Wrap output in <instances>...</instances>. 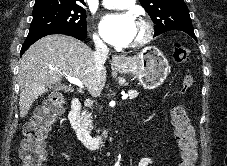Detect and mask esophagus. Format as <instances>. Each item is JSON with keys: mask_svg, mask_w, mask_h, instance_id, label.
<instances>
[{"mask_svg": "<svg viewBox=\"0 0 227 166\" xmlns=\"http://www.w3.org/2000/svg\"><path fill=\"white\" fill-rule=\"evenodd\" d=\"M123 63V59L118 56V55H113L112 56V64L113 65H119V64H122Z\"/></svg>", "mask_w": 227, "mask_h": 166, "instance_id": "1", "label": "esophagus"}]
</instances>
